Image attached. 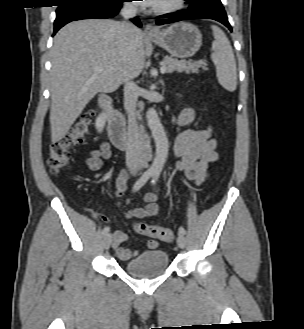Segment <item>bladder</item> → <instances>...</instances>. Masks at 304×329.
Returning <instances> with one entry per match:
<instances>
[{
  "label": "bladder",
  "mask_w": 304,
  "mask_h": 329,
  "mask_svg": "<svg viewBox=\"0 0 304 329\" xmlns=\"http://www.w3.org/2000/svg\"><path fill=\"white\" fill-rule=\"evenodd\" d=\"M170 258L164 250H149L124 263V271L137 278H151L169 267Z\"/></svg>",
  "instance_id": "bladder-1"
}]
</instances>
